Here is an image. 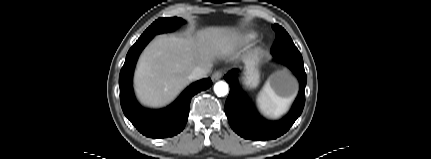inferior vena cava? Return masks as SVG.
Wrapping results in <instances>:
<instances>
[{
    "label": "inferior vena cava",
    "mask_w": 431,
    "mask_h": 159,
    "mask_svg": "<svg viewBox=\"0 0 431 159\" xmlns=\"http://www.w3.org/2000/svg\"><path fill=\"white\" fill-rule=\"evenodd\" d=\"M211 71V65L202 68L196 67L188 76L189 80H198L205 77Z\"/></svg>",
    "instance_id": "1"
}]
</instances>
